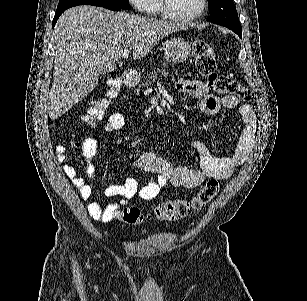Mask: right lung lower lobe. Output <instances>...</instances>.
<instances>
[{
	"label": "right lung lower lobe",
	"instance_id": "right-lung-lower-lobe-1",
	"mask_svg": "<svg viewBox=\"0 0 307 301\" xmlns=\"http://www.w3.org/2000/svg\"><path fill=\"white\" fill-rule=\"evenodd\" d=\"M100 7H104V8H107V9H110V10H113V11H120L121 9L120 8H117V7H112V6H100ZM65 11V10H64ZM64 11H60V12H56L55 16H54V19H53V22H52V26L54 27L59 16L64 12Z\"/></svg>",
	"mask_w": 307,
	"mask_h": 301
}]
</instances>
